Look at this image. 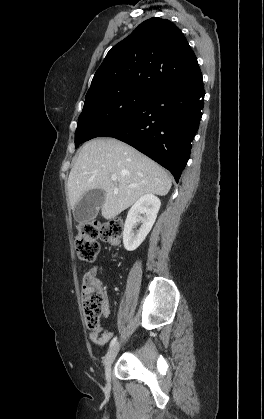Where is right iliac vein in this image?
Instances as JSON below:
<instances>
[{
    "label": "right iliac vein",
    "mask_w": 264,
    "mask_h": 419,
    "mask_svg": "<svg viewBox=\"0 0 264 419\" xmlns=\"http://www.w3.org/2000/svg\"><path fill=\"white\" fill-rule=\"evenodd\" d=\"M119 347L120 346H119L118 343L115 344L108 351V353L105 356V360H104V363H105V376H106L107 381H110V379H111V366H112V363L114 362V360L116 358V355H117V353L119 351Z\"/></svg>",
    "instance_id": "right-iliac-vein-1"
}]
</instances>
